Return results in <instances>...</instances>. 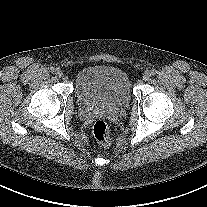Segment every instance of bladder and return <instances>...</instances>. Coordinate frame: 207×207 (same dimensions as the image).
Returning <instances> with one entry per match:
<instances>
[{"label":"bladder","mask_w":207,"mask_h":207,"mask_svg":"<svg viewBox=\"0 0 207 207\" xmlns=\"http://www.w3.org/2000/svg\"><path fill=\"white\" fill-rule=\"evenodd\" d=\"M75 91L78 99L87 106L117 107L129 101L132 88L124 70L96 65L77 74Z\"/></svg>","instance_id":"31cf9c89"}]
</instances>
